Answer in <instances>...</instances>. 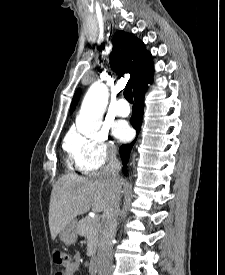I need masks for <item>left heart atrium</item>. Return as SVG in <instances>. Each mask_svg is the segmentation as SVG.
Returning <instances> with one entry per match:
<instances>
[{
    "instance_id": "1",
    "label": "left heart atrium",
    "mask_w": 225,
    "mask_h": 275,
    "mask_svg": "<svg viewBox=\"0 0 225 275\" xmlns=\"http://www.w3.org/2000/svg\"><path fill=\"white\" fill-rule=\"evenodd\" d=\"M113 134L120 140H126L130 136V128L124 122H117L113 126Z\"/></svg>"
}]
</instances>
